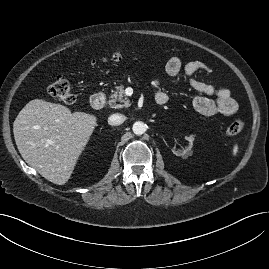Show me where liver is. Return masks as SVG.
<instances>
[{
    "mask_svg": "<svg viewBox=\"0 0 269 269\" xmlns=\"http://www.w3.org/2000/svg\"><path fill=\"white\" fill-rule=\"evenodd\" d=\"M96 126L94 115L34 99L17 115L13 133L25 162L50 182L64 185Z\"/></svg>",
    "mask_w": 269,
    "mask_h": 269,
    "instance_id": "1",
    "label": "liver"
}]
</instances>
